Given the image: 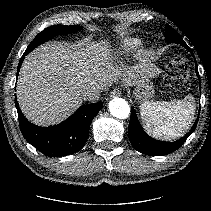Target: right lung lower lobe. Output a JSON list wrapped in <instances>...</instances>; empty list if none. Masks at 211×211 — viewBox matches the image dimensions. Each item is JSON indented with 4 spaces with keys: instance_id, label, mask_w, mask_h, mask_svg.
<instances>
[{
    "instance_id": "1",
    "label": "right lung lower lobe",
    "mask_w": 211,
    "mask_h": 211,
    "mask_svg": "<svg viewBox=\"0 0 211 211\" xmlns=\"http://www.w3.org/2000/svg\"><path fill=\"white\" fill-rule=\"evenodd\" d=\"M28 53L25 51L19 61L17 76ZM15 105L24 138L49 157L66 156L81 150L88 139L89 127L93 118L103 107L102 102L82 105L64 122L52 127H39L24 117L17 100H15Z\"/></svg>"
}]
</instances>
